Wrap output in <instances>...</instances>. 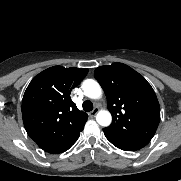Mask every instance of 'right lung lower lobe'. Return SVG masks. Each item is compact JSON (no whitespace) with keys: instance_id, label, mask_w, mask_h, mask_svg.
I'll return each instance as SVG.
<instances>
[{"instance_id":"1","label":"right lung lower lobe","mask_w":181,"mask_h":181,"mask_svg":"<svg viewBox=\"0 0 181 181\" xmlns=\"http://www.w3.org/2000/svg\"><path fill=\"white\" fill-rule=\"evenodd\" d=\"M79 135H78V137H79ZM78 137L66 149H64L63 151L58 152V153H62V152H65L66 150H68L77 141ZM58 153H56V154H58Z\"/></svg>"}]
</instances>
